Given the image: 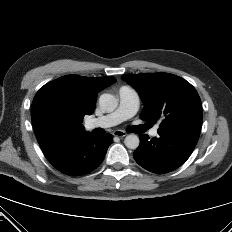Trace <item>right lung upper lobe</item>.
<instances>
[{
	"label": "right lung upper lobe",
	"mask_w": 232,
	"mask_h": 232,
	"mask_svg": "<svg viewBox=\"0 0 232 232\" xmlns=\"http://www.w3.org/2000/svg\"><path fill=\"white\" fill-rule=\"evenodd\" d=\"M115 82L114 77L67 75L40 88L31 111L39 145L54 136L83 134V117L93 113L98 92Z\"/></svg>",
	"instance_id": "1"
}]
</instances>
